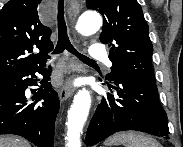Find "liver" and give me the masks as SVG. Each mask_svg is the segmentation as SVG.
<instances>
[{"label":"liver","mask_w":183,"mask_h":147,"mask_svg":"<svg viewBox=\"0 0 183 147\" xmlns=\"http://www.w3.org/2000/svg\"><path fill=\"white\" fill-rule=\"evenodd\" d=\"M0 147H30V144L13 136H0Z\"/></svg>","instance_id":"6515ba94"}]
</instances>
